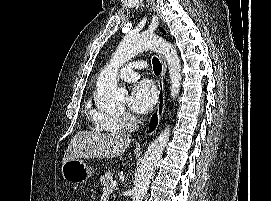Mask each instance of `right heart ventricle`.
I'll use <instances>...</instances> for the list:
<instances>
[{
	"instance_id": "1",
	"label": "right heart ventricle",
	"mask_w": 271,
	"mask_h": 201,
	"mask_svg": "<svg viewBox=\"0 0 271 201\" xmlns=\"http://www.w3.org/2000/svg\"><path fill=\"white\" fill-rule=\"evenodd\" d=\"M90 119L92 124L99 130L105 131V132H116L119 130L118 127H115L111 124H109L107 121L103 119L104 116H106L103 113H95V112H89Z\"/></svg>"
}]
</instances>
